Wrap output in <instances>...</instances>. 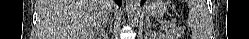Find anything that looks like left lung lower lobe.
<instances>
[{"label": "left lung lower lobe", "instance_id": "obj_1", "mask_svg": "<svg viewBox=\"0 0 249 39\" xmlns=\"http://www.w3.org/2000/svg\"><path fill=\"white\" fill-rule=\"evenodd\" d=\"M144 1H145V0H141V6H142V4L144 3Z\"/></svg>", "mask_w": 249, "mask_h": 39}]
</instances>
